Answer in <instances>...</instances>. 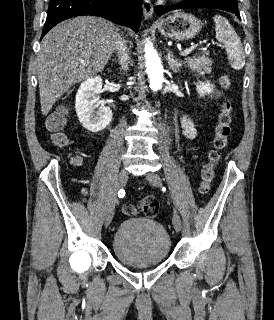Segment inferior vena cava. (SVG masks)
I'll return each instance as SVG.
<instances>
[{
  "label": "inferior vena cava",
  "instance_id": "obj_1",
  "mask_svg": "<svg viewBox=\"0 0 274 320\" xmlns=\"http://www.w3.org/2000/svg\"><path fill=\"white\" fill-rule=\"evenodd\" d=\"M115 48L117 50L121 70H127L129 64V56L127 54L128 50L124 42H122V38H119V36L115 42Z\"/></svg>",
  "mask_w": 274,
  "mask_h": 320
}]
</instances>
